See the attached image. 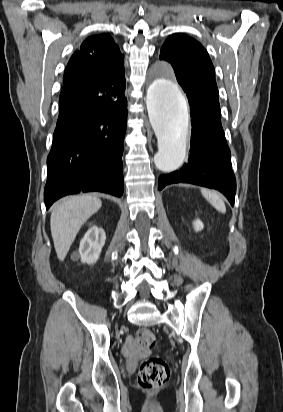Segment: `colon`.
I'll use <instances>...</instances> for the list:
<instances>
[{"label":"colon","instance_id":"colon-1","mask_svg":"<svg viewBox=\"0 0 283 412\" xmlns=\"http://www.w3.org/2000/svg\"><path fill=\"white\" fill-rule=\"evenodd\" d=\"M136 341L146 348H154L157 345L155 335L146 328H141L136 332ZM169 376V366L162 358L148 357L139 367L138 382L144 389H157L167 382Z\"/></svg>","mask_w":283,"mask_h":412}]
</instances>
